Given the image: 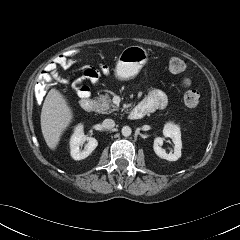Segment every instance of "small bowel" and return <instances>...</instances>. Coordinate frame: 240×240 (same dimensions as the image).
Wrapping results in <instances>:
<instances>
[{"instance_id":"small-bowel-1","label":"small bowel","mask_w":240,"mask_h":240,"mask_svg":"<svg viewBox=\"0 0 240 240\" xmlns=\"http://www.w3.org/2000/svg\"><path fill=\"white\" fill-rule=\"evenodd\" d=\"M59 68L66 69L67 67L56 57L46 65L45 69L40 73L38 80L49 84L53 83L59 78ZM101 73L108 76L111 74V69L104 64H100L98 69L94 68V73L89 78L93 85L99 82ZM181 84L187 87L190 85V81L189 79H183ZM77 92L81 97H88L91 94L90 88L85 85L81 89H77ZM167 102V95L163 91L155 89L149 92L137 107L140 108L144 114H148L163 109L167 105Z\"/></svg>"}]
</instances>
